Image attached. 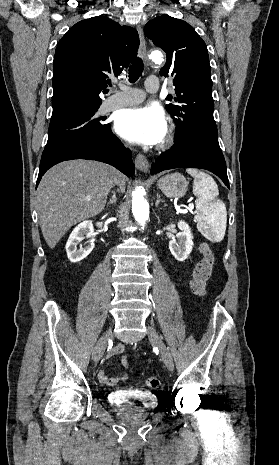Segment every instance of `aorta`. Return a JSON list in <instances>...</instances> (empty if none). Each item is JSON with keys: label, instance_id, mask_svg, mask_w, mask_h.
Instances as JSON below:
<instances>
[{"label": "aorta", "instance_id": "762f6f07", "mask_svg": "<svg viewBox=\"0 0 279 465\" xmlns=\"http://www.w3.org/2000/svg\"><path fill=\"white\" fill-rule=\"evenodd\" d=\"M151 58L154 62L162 61V54L158 51L151 54ZM132 212L135 217V220L144 225L149 218V204L143 197L142 190L137 188L132 193Z\"/></svg>", "mask_w": 279, "mask_h": 465}]
</instances>
